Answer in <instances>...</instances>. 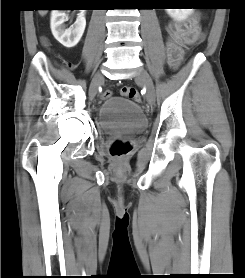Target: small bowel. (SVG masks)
<instances>
[{
  "instance_id": "obj_1",
  "label": "small bowel",
  "mask_w": 245,
  "mask_h": 278,
  "mask_svg": "<svg viewBox=\"0 0 245 278\" xmlns=\"http://www.w3.org/2000/svg\"><path fill=\"white\" fill-rule=\"evenodd\" d=\"M168 31V63L177 68L184 58L183 45L200 41L204 37L203 29L197 18H192L184 26L178 22H170Z\"/></svg>"
}]
</instances>
